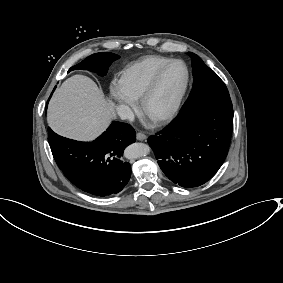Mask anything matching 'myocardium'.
<instances>
[{"mask_svg": "<svg viewBox=\"0 0 283 283\" xmlns=\"http://www.w3.org/2000/svg\"><path fill=\"white\" fill-rule=\"evenodd\" d=\"M182 64L185 68V73H186V78H185V82L184 85L181 89V91L179 92L177 98L175 99L173 105L171 106V108L155 117L152 118L154 121L156 122H164V121H168L170 119H172L179 111L182 101L184 99V96L188 90L189 84H190V69L188 67V65L183 61V60H179V59H174L171 60L169 62H167L166 64H164L163 66H161L159 69H157L153 75L151 76V78L149 79L146 88L140 98V105H141V109L143 111L144 114H146L145 110H146V106L149 102V100L151 99V97L153 96L156 86L158 84L159 79L161 78V76L164 74V72L173 64Z\"/></svg>", "mask_w": 283, "mask_h": 283, "instance_id": "myocardium-1", "label": "myocardium"}]
</instances>
